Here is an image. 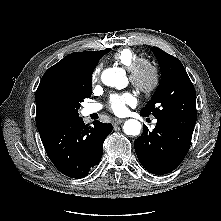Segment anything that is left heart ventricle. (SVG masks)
<instances>
[{"label":"left heart ventricle","mask_w":221,"mask_h":221,"mask_svg":"<svg viewBox=\"0 0 221 221\" xmlns=\"http://www.w3.org/2000/svg\"><path fill=\"white\" fill-rule=\"evenodd\" d=\"M148 77H149V74H148L147 72H145V73H144V78H145V79H148Z\"/></svg>","instance_id":"obj_1"}]
</instances>
